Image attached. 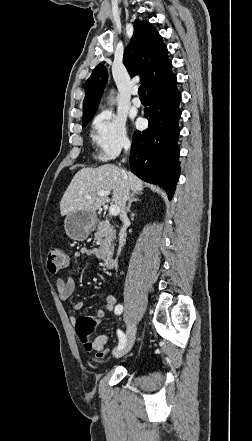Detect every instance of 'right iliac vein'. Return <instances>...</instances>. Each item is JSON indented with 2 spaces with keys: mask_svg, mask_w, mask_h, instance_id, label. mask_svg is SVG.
Listing matches in <instances>:
<instances>
[{
  "mask_svg": "<svg viewBox=\"0 0 252 441\" xmlns=\"http://www.w3.org/2000/svg\"><path fill=\"white\" fill-rule=\"evenodd\" d=\"M135 335H136V325L134 323L129 324L126 332V342L124 347L121 348L120 350L115 351L113 355L119 358L127 354L134 344Z\"/></svg>",
  "mask_w": 252,
  "mask_h": 441,
  "instance_id": "63e3f726",
  "label": "right iliac vein"
}]
</instances>
